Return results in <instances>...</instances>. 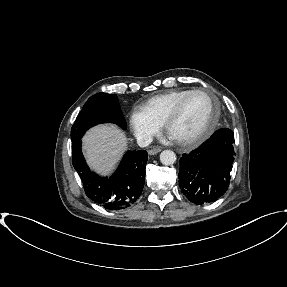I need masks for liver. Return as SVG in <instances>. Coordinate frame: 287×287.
I'll return each instance as SVG.
<instances>
[{
  "mask_svg": "<svg viewBox=\"0 0 287 287\" xmlns=\"http://www.w3.org/2000/svg\"><path fill=\"white\" fill-rule=\"evenodd\" d=\"M82 140L89 166L101 175L113 172L128 145L126 134L111 124L90 129Z\"/></svg>",
  "mask_w": 287,
  "mask_h": 287,
  "instance_id": "6515ba94",
  "label": "liver"
}]
</instances>
